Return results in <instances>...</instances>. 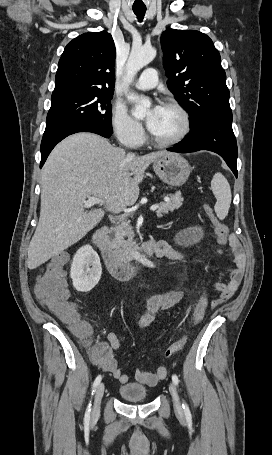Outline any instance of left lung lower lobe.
<instances>
[{
	"label": "left lung lower lobe",
	"mask_w": 272,
	"mask_h": 455,
	"mask_svg": "<svg viewBox=\"0 0 272 455\" xmlns=\"http://www.w3.org/2000/svg\"><path fill=\"white\" fill-rule=\"evenodd\" d=\"M190 133L169 151L178 153L209 150L219 154L237 177V143L232 113L215 114L190 126Z\"/></svg>",
	"instance_id": "0a47b994"
}]
</instances>
